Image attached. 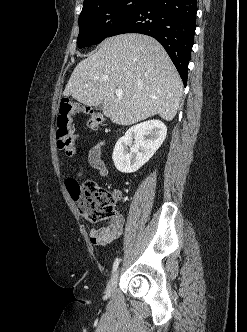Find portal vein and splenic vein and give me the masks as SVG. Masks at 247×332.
Segmentation results:
<instances>
[{"label":"portal vein and splenic vein","instance_id":"18ae733b","mask_svg":"<svg viewBox=\"0 0 247 332\" xmlns=\"http://www.w3.org/2000/svg\"><path fill=\"white\" fill-rule=\"evenodd\" d=\"M115 94H116L117 96H122V95H123V91H122L121 89H117V90L115 91Z\"/></svg>","mask_w":247,"mask_h":332}]
</instances>
